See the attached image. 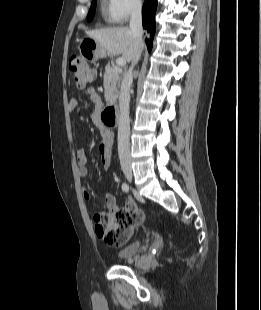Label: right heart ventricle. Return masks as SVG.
I'll return each instance as SVG.
<instances>
[{
	"instance_id": "e07e8e85",
	"label": "right heart ventricle",
	"mask_w": 261,
	"mask_h": 310,
	"mask_svg": "<svg viewBox=\"0 0 261 310\" xmlns=\"http://www.w3.org/2000/svg\"><path fill=\"white\" fill-rule=\"evenodd\" d=\"M101 13L105 21L113 22L110 13V0H101Z\"/></svg>"
}]
</instances>
